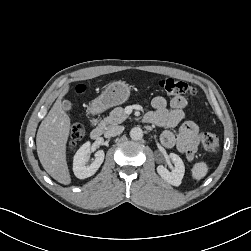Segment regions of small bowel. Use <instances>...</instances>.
<instances>
[{
  "instance_id": "c3829d8e",
  "label": "small bowel",
  "mask_w": 251,
  "mask_h": 251,
  "mask_svg": "<svg viewBox=\"0 0 251 251\" xmlns=\"http://www.w3.org/2000/svg\"><path fill=\"white\" fill-rule=\"evenodd\" d=\"M151 104L154 110L145 115L148 123L168 128L161 134V144L166 148L176 147L189 161L193 160L200 130L195 121H183L184 109L187 106L186 99L182 96H175L167 101L162 96H156ZM177 126H179L178 132L170 130Z\"/></svg>"
}]
</instances>
